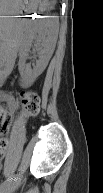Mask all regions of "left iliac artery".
Wrapping results in <instances>:
<instances>
[{
	"label": "left iliac artery",
	"mask_w": 103,
	"mask_h": 193,
	"mask_svg": "<svg viewBox=\"0 0 103 193\" xmlns=\"http://www.w3.org/2000/svg\"><path fill=\"white\" fill-rule=\"evenodd\" d=\"M19 175V171H15L14 175H12L11 177H9L7 180H5L2 184H1V189L6 188L7 186H9L13 181L17 180V177Z\"/></svg>",
	"instance_id": "obj_1"
}]
</instances>
